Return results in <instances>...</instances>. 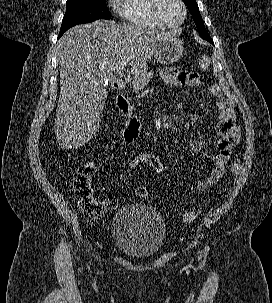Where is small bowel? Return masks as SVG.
<instances>
[{
    "label": "small bowel",
    "instance_id": "obj_1",
    "mask_svg": "<svg viewBox=\"0 0 272 303\" xmlns=\"http://www.w3.org/2000/svg\"><path fill=\"white\" fill-rule=\"evenodd\" d=\"M162 79L166 84L174 86L199 87L202 85L196 73L175 69L164 70L162 72ZM208 93L210 96L216 98L219 119L217 138L212 142L204 139H193L187 144L190 152L201 153L213 162L209 177L196 182V189L200 191H204L210 185L218 183L222 178L232 150L235 148L240 137V129L236 123L233 107L229 99L224 96L220 87L215 83L208 85ZM136 135L137 133L130 135L124 141L131 142L136 138ZM210 147L216 149L215 154L209 152Z\"/></svg>",
    "mask_w": 272,
    "mask_h": 303
}]
</instances>
